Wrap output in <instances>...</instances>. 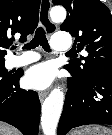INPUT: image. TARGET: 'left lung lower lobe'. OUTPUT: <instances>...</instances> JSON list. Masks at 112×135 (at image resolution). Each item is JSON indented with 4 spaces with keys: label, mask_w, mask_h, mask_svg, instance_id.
<instances>
[{
    "label": "left lung lower lobe",
    "mask_w": 112,
    "mask_h": 135,
    "mask_svg": "<svg viewBox=\"0 0 112 135\" xmlns=\"http://www.w3.org/2000/svg\"><path fill=\"white\" fill-rule=\"evenodd\" d=\"M70 74L58 135L88 124L112 125V72L97 73L86 79Z\"/></svg>",
    "instance_id": "left-lung-lower-lobe-1"
}]
</instances>
